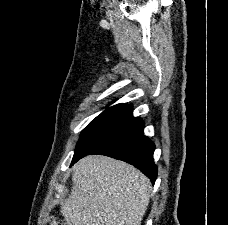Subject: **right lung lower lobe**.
<instances>
[{
  "label": "right lung lower lobe",
  "instance_id": "1",
  "mask_svg": "<svg viewBox=\"0 0 228 225\" xmlns=\"http://www.w3.org/2000/svg\"><path fill=\"white\" fill-rule=\"evenodd\" d=\"M144 122L132 116L126 105L94 129L76 148L71 166L90 154H102L130 163L154 184L157 167L153 161L154 143L143 134Z\"/></svg>",
  "mask_w": 228,
  "mask_h": 225
}]
</instances>
